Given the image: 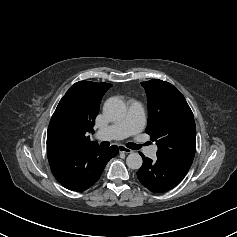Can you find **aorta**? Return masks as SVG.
Instances as JSON below:
<instances>
[{"instance_id": "1", "label": "aorta", "mask_w": 237, "mask_h": 237, "mask_svg": "<svg viewBox=\"0 0 237 237\" xmlns=\"http://www.w3.org/2000/svg\"><path fill=\"white\" fill-rule=\"evenodd\" d=\"M103 111L111 119L121 120L125 117L127 109L123 100L118 97H111L105 102ZM142 163V157L138 153H130L126 158L127 166L133 170L140 169Z\"/></svg>"}]
</instances>
